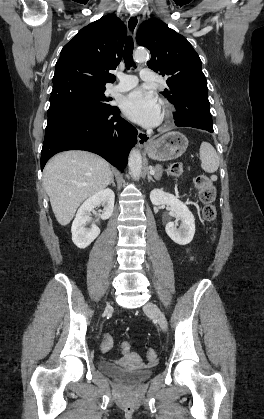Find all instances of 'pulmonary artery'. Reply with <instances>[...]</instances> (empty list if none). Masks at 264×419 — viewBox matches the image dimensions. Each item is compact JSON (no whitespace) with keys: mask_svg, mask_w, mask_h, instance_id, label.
<instances>
[{"mask_svg":"<svg viewBox=\"0 0 264 419\" xmlns=\"http://www.w3.org/2000/svg\"><path fill=\"white\" fill-rule=\"evenodd\" d=\"M140 77L144 81H153L154 74L150 69H143L140 72ZM119 83L114 86V91L124 92L134 88L138 83V78L134 75L119 74Z\"/></svg>","mask_w":264,"mask_h":419,"instance_id":"obj_1","label":"pulmonary artery"}]
</instances>
